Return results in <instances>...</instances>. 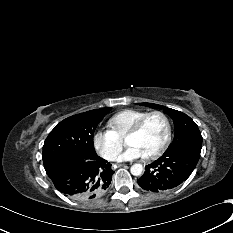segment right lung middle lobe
Here are the masks:
<instances>
[{
  "mask_svg": "<svg viewBox=\"0 0 233 233\" xmlns=\"http://www.w3.org/2000/svg\"><path fill=\"white\" fill-rule=\"evenodd\" d=\"M111 108L90 110L61 121L50 132L43 146L42 159L46 172L73 156L93 158L94 131Z\"/></svg>",
  "mask_w": 233,
  "mask_h": 233,
  "instance_id": "obj_1",
  "label": "right lung middle lobe"
}]
</instances>
